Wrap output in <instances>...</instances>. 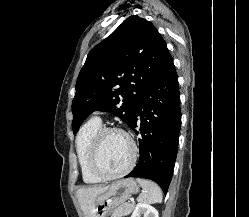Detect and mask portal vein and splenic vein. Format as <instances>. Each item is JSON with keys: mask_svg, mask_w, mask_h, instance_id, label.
<instances>
[{"mask_svg": "<svg viewBox=\"0 0 249 217\" xmlns=\"http://www.w3.org/2000/svg\"><path fill=\"white\" fill-rule=\"evenodd\" d=\"M131 203H134V200L131 199Z\"/></svg>", "mask_w": 249, "mask_h": 217, "instance_id": "obj_1", "label": "portal vein and splenic vein"}]
</instances>
